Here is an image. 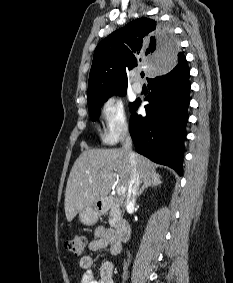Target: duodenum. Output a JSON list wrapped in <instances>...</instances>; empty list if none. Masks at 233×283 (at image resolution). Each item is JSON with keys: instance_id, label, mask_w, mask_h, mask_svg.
<instances>
[{"instance_id": "obj_1", "label": "duodenum", "mask_w": 233, "mask_h": 283, "mask_svg": "<svg viewBox=\"0 0 233 283\" xmlns=\"http://www.w3.org/2000/svg\"><path fill=\"white\" fill-rule=\"evenodd\" d=\"M111 205L109 200L98 202V210L105 212ZM130 236V226L126 221H119L115 226L114 237L116 247L121 248L122 242L126 241Z\"/></svg>"}]
</instances>
